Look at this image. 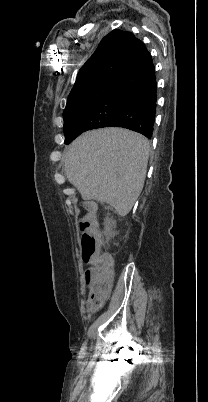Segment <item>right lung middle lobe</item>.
<instances>
[{
  "mask_svg": "<svg viewBox=\"0 0 208 402\" xmlns=\"http://www.w3.org/2000/svg\"><path fill=\"white\" fill-rule=\"evenodd\" d=\"M120 97L117 86L111 81L69 96L63 112L64 123L117 112ZM75 137L66 139L65 143L69 144Z\"/></svg>",
  "mask_w": 208,
  "mask_h": 402,
  "instance_id": "dd1d6c3e",
  "label": "right lung middle lobe"
}]
</instances>
